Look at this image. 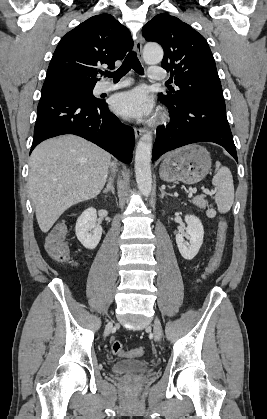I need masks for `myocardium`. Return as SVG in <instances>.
Here are the masks:
<instances>
[{"label": "myocardium", "mask_w": 267, "mask_h": 419, "mask_svg": "<svg viewBox=\"0 0 267 419\" xmlns=\"http://www.w3.org/2000/svg\"><path fill=\"white\" fill-rule=\"evenodd\" d=\"M160 119H161V120L165 119V114H161V115H160Z\"/></svg>", "instance_id": "1"}]
</instances>
